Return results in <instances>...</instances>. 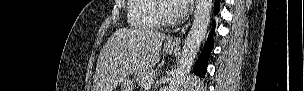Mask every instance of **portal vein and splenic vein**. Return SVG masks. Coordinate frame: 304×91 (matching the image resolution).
I'll return each instance as SVG.
<instances>
[{"instance_id":"18ae733b","label":"portal vein and splenic vein","mask_w":304,"mask_h":91,"mask_svg":"<svg viewBox=\"0 0 304 91\" xmlns=\"http://www.w3.org/2000/svg\"><path fill=\"white\" fill-rule=\"evenodd\" d=\"M149 87H150V85H147V86H146V89H148Z\"/></svg>"}]
</instances>
